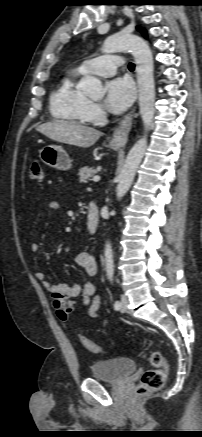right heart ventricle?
I'll return each instance as SVG.
<instances>
[{
    "label": "right heart ventricle",
    "instance_id": "obj_1",
    "mask_svg": "<svg viewBox=\"0 0 202 437\" xmlns=\"http://www.w3.org/2000/svg\"><path fill=\"white\" fill-rule=\"evenodd\" d=\"M81 75L80 69L71 71L51 93L49 107L54 118L78 124L90 122V101L77 87V79Z\"/></svg>",
    "mask_w": 202,
    "mask_h": 437
}]
</instances>
